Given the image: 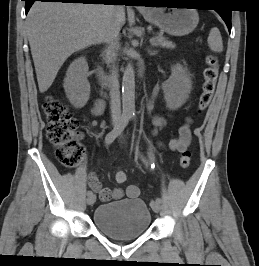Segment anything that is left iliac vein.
<instances>
[{
	"instance_id": "1",
	"label": "left iliac vein",
	"mask_w": 259,
	"mask_h": 266,
	"mask_svg": "<svg viewBox=\"0 0 259 266\" xmlns=\"http://www.w3.org/2000/svg\"><path fill=\"white\" fill-rule=\"evenodd\" d=\"M151 208L154 212L158 213L161 209L160 203L157 201L151 202Z\"/></svg>"
}]
</instances>
